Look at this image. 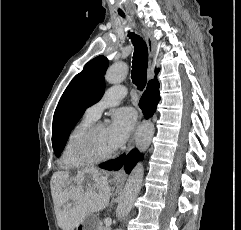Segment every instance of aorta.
Returning <instances> with one entry per match:
<instances>
[{"instance_id":"aorta-1","label":"aorta","mask_w":241,"mask_h":230,"mask_svg":"<svg viewBox=\"0 0 241 230\" xmlns=\"http://www.w3.org/2000/svg\"><path fill=\"white\" fill-rule=\"evenodd\" d=\"M128 66L125 62H117L112 65L105 74V80L110 84L121 83L127 76ZM154 135V126L151 122H143L136 133V147L141 153H145L149 148ZM144 175L143 163L139 162L131 171L127 182L120 193L116 216L118 220H123L131 211L134 201L142 187Z\"/></svg>"}]
</instances>
